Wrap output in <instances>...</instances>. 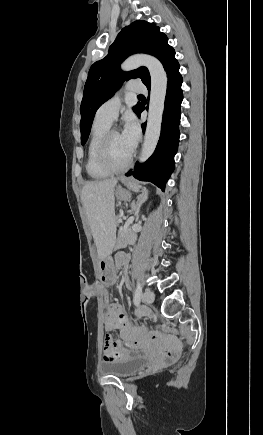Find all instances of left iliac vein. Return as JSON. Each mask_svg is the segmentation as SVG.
Wrapping results in <instances>:
<instances>
[{"label": "left iliac vein", "instance_id": "obj_1", "mask_svg": "<svg viewBox=\"0 0 263 435\" xmlns=\"http://www.w3.org/2000/svg\"><path fill=\"white\" fill-rule=\"evenodd\" d=\"M155 295L152 291L146 290L142 295V301L147 304L153 303Z\"/></svg>", "mask_w": 263, "mask_h": 435}]
</instances>
